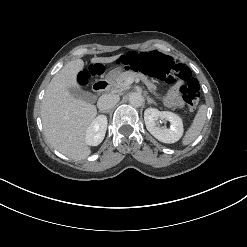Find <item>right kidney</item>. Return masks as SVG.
<instances>
[{"label": "right kidney", "instance_id": "1", "mask_svg": "<svg viewBox=\"0 0 247 247\" xmlns=\"http://www.w3.org/2000/svg\"><path fill=\"white\" fill-rule=\"evenodd\" d=\"M107 130V118L106 116L96 117L86 131V143L90 146L99 145L104 137Z\"/></svg>", "mask_w": 247, "mask_h": 247}]
</instances>
